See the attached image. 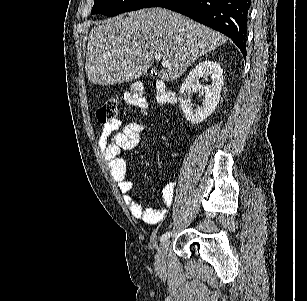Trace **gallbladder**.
<instances>
[{
  "label": "gallbladder",
  "instance_id": "1",
  "mask_svg": "<svg viewBox=\"0 0 307 301\" xmlns=\"http://www.w3.org/2000/svg\"><path fill=\"white\" fill-rule=\"evenodd\" d=\"M149 76H152V78H154V76H157V72H155V70H151Z\"/></svg>",
  "mask_w": 307,
  "mask_h": 301
}]
</instances>
